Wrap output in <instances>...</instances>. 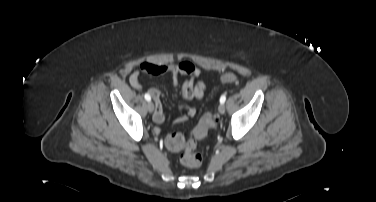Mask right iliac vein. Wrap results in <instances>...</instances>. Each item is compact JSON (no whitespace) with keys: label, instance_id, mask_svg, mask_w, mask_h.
Returning <instances> with one entry per match:
<instances>
[{"label":"right iliac vein","instance_id":"obj_1","mask_svg":"<svg viewBox=\"0 0 376 202\" xmlns=\"http://www.w3.org/2000/svg\"><path fill=\"white\" fill-rule=\"evenodd\" d=\"M147 108H148V111L152 113L154 110V104L151 101H149L147 104Z\"/></svg>","mask_w":376,"mask_h":202}]
</instances>
